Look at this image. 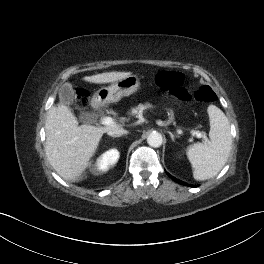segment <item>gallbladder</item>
<instances>
[{"label":"gallbladder","instance_id":"gallbladder-1","mask_svg":"<svg viewBox=\"0 0 264 264\" xmlns=\"http://www.w3.org/2000/svg\"><path fill=\"white\" fill-rule=\"evenodd\" d=\"M59 100L60 102L70 105L74 101V92L72 86L68 83L63 84L59 89ZM80 121L86 124H90L94 121V114L82 113L80 115Z\"/></svg>","mask_w":264,"mask_h":264}]
</instances>
